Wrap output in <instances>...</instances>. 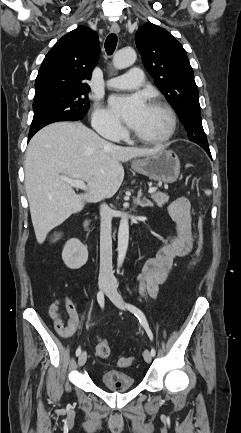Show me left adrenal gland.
Here are the masks:
<instances>
[{"label": "left adrenal gland", "instance_id": "a2214340", "mask_svg": "<svg viewBox=\"0 0 241 433\" xmlns=\"http://www.w3.org/2000/svg\"><path fill=\"white\" fill-rule=\"evenodd\" d=\"M142 196H143V193L140 190L138 192V196H137V200H136L137 204L140 205L141 207H148V206L152 207L153 206L152 202L149 199L145 198V197L143 199H141Z\"/></svg>", "mask_w": 241, "mask_h": 433}]
</instances>
